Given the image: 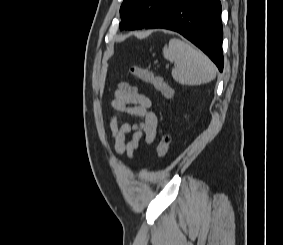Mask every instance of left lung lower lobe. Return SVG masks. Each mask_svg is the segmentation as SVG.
I'll return each instance as SVG.
<instances>
[{"label":"left lung lower lobe","instance_id":"left-lung-lower-lobe-1","mask_svg":"<svg viewBox=\"0 0 283 245\" xmlns=\"http://www.w3.org/2000/svg\"><path fill=\"white\" fill-rule=\"evenodd\" d=\"M145 28H164L180 33L223 71L220 0H173Z\"/></svg>","mask_w":283,"mask_h":245}]
</instances>
